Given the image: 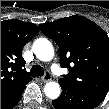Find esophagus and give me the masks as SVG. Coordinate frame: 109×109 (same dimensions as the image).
Wrapping results in <instances>:
<instances>
[{
  "label": "esophagus",
  "instance_id": "34e87169",
  "mask_svg": "<svg viewBox=\"0 0 109 109\" xmlns=\"http://www.w3.org/2000/svg\"><path fill=\"white\" fill-rule=\"evenodd\" d=\"M43 82H48L52 79L51 73L46 71L45 75L41 78Z\"/></svg>",
  "mask_w": 109,
  "mask_h": 109
}]
</instances>
